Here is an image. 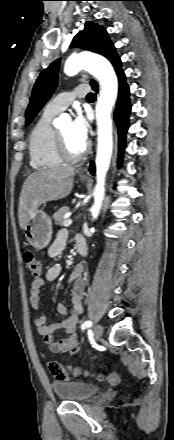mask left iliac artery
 Returning <instances> with one entry per match:
<instances>
[{"label": "left iliac artery", "mask_w": 174, "mask_h": 440, "mask_svg": "<svg viewBox=\"0 0 174 440\" xmlns=\"http://www.w3.org/2000/svg\"><path fill=\"white\" fill-rule=\"evenodd\" d=\"M91 325H92L91 321H85L81 328L86 329V328L90 327Z\"/></svg>", "instance_id": "obj_1"}]
</instances>
